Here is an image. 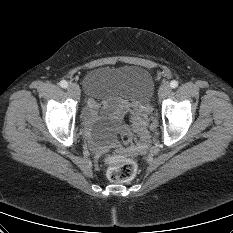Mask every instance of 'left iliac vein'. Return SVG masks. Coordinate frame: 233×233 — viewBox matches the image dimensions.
Returning a JSON list of instances; mask_svg holds the SVG:
<instances>
[{
	"label": "left iliac vein",
	"instance_id": "left-iliac-vein-1",
	"mask_svg": "<svg viewBox=\"0 0 233 233\" xmlns=\"http://www.w3.org/2000/svg\"><path fill=\"white\" fill-rule=\"evenodd\" d=\"M170 91L171 88L168 84L161 85L158 91L159 98L160 99L165 98L170 93Z\"/></svg>",
	"mask_w": 233,
	"mask_h": 233
}]
</instances>
